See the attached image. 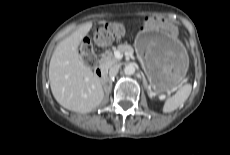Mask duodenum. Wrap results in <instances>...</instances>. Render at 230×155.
<instances>
[{
	"label": "duodenum",
	"instance_id": "1",
	"mask_svg": "<svg viewBox=\"0 0 230 155\" xmlns=\"http://www.w3.org/2000/svg\"><path fill=\"white\" fill-rule=\"evenodd\" d=\"M95 74L98 78H100L101 80H106V71L103 67L99 66L96 68L95 70Z\"/></svg>",
	"mask_w": 230,
	"mask_h": 155
}]
</instances>
